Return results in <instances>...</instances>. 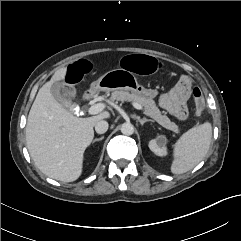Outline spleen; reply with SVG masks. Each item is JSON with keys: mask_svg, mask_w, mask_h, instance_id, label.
I'll return each mask as SVG.
<instances>
[{"mask_svg": "<svg viewBox=\"0 0 241 241\" xmlns=\"http://www.w3.org/2000/svg\"><path fill=\"white\" fill-rule=\"evenodd\" d=\"M212 138V126L205 122L185 132L174 144L171 172L183 174L193 169L206 156Z\"/></svg>", "mask_w": 241, "mask_h": 241, "instance_id": "obj_1", "label": "spleen"}]
</instances>
